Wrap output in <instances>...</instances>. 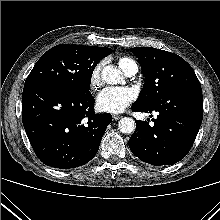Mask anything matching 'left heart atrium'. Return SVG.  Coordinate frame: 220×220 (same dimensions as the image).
Returning a JSON list of instances; mask_svg holds the SVG:
<instances>
[{"label": "left heart atrium", "mask_w": 220, "mask_h": 220, "mask_svg": "<svg viewBox=\"0 0 220 220\" xmlns=\"http://www.w3.org/2000/svg\"><path fill=\"white\" fill-rule=\"evenodd\" d=\"M136 98V92L129 87H107L96 98L98 110L108 113H120Z\"/></svg>", "instance_id": "39dd6f15"}]
</instances>
